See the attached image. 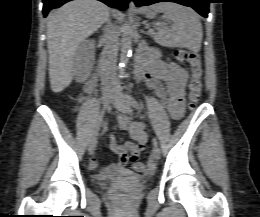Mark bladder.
I'll return each instance as SVG.
<instances>
[{
	"instance_id": "1",
	"label": "bladder",
	"mask_w": 260,
	"mask_h": 217,
	"mask_svg": "<svg viewBox=\"0 0 260 217\" xmlns=\"http://www.w3.org/2000/svg\"><path fill=\"white\" fill-rule=\"evenodd\" d=\"M118 175L121 177V178H124V179H136L138 178V175L132 171H129V170H122V171H119L118 172Z\"/></svg>"
}]
</instances>
